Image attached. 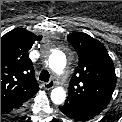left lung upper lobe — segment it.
Returning a JSON list of instances; mask_svg holds the SVG:
<instances>
[{"label": "left lung upper lobe", "instance_id": "obj_1", "mask_svg": "<svg viewBox=\"0 0 122 122\" xmlns=\"http://www.w3.org/2000/svg\"><path fill=\"white\" fill-rule=\"evenodd\" d=\"M67 39L78 53L79 63L66 102L97 115L110 102L116 85L112 59L100 41L85 33H72Z\"/></svg>", "mask_w": 122, "mask_h": 122}]
</instances>
